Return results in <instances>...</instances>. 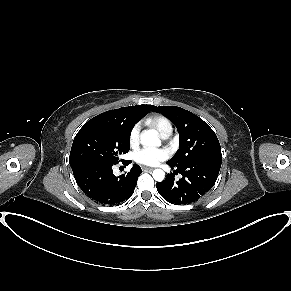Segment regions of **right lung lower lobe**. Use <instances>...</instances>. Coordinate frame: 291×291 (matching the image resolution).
Wrapping results in <instances>:
<instances>
[{"label": "right lung lower lobe", "mask_w": 291, "mask_h": 291, "mask_svg": "<svg viewBox=\"0 0 291 291\" xmlns=\"http://www.w3.org/2000/svg\"><path fill=\"white\" fill-rule=\"evenodd\" d=\"M113 165L89 164L72 170L81 190L104 206L119 205L127 200L133 194L137 178L142 173L140 166L135 164L128 173L116 177Z\"/></svg>", "instance_id": "obj_1"}]
</instances>
